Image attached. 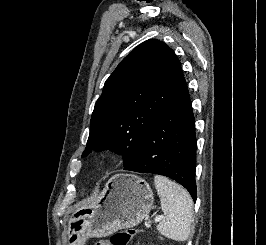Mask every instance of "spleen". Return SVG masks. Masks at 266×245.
<instances>
[{"instance_id":"obj_1","label":"spleen","mask_w":266,"mask_h":245,"mask_svg":"<svg viewBox=\"0 0 266 245\" xmlns=\"http://www.w3.org/2000/svg\"><path fill=\"white\" fill-rule=\"evenodd\" d=\"M154 185L164 213L157 231L172 241H187L193 223V201L189 193L160 175L154 177Z\"/></svg>"}]
</instances>
